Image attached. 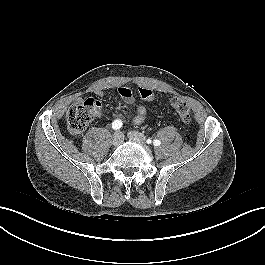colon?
I'll use <instances>...</instances> for the list:
<instances>
[{
	"label": "colon",
	"instance_id": "1",
	"mask_svg": "<svg viewBox=\"0 0 265 265\" xmlns=\"http://www.w3.org/2000/svg\"><path fill=\"white\" fill-rule=\"evenodd\" d=\"M137 92L140 99L144 101H152L155 97L153 91L147 87H138ZM170 104L184 124L191 122L190 106L185 100L173 97L170 100ZM100 111L101 104L94 99H88L83 103L71 106L66 114L69 132L72 135L82 134L94 118L100 114Z\"/></svg>",
	"mask_w": 265,
	"mask_h": 265
}]
</instances>
